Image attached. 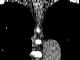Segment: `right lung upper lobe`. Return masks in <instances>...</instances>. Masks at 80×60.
Here are the masks:
<instances>
[{
	"label": "right lung upper lobe",
	"mask_w": 80,
	"mask_h": 60,
	"mask_svg": "<svg viewBox=\"0 0 80 60\" xmlns=\"http://www.w3.org/2000/svg\"><path fill=\"white\" fill-rule=\"evenodd\" d=\"M33 28L32 15L27 8L12 3L0 6V47L4 53L27 58L32 48Z\"/></svg>",
	"instance_id": "obj_1"
}]
</instances>
